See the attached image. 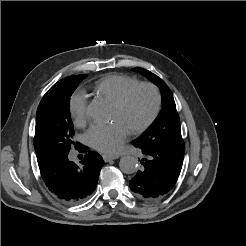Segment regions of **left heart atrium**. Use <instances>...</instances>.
Wrapping results in <instances>:
<instances>
[{"mask_svg": "<svg viewBox=\"0 0 246 246\" xmlns=\"http://www.w3.org/2000/svg\"><path fill=\"white\" fill-rule=\"evenodd\" d=\"M128 133L129 129L126 125L115 119L106 124H93L87 130L85 138L94 149L103 153L114 154L120 150Z\"/></svg>", "mask_w": 246, "mask_h": 246, "instance_id": "39dd6f15", "label": "left heart atrium"}]
</instances>
